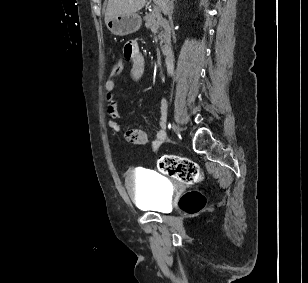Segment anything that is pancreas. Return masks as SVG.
I'll return each mask as SVG.
<instances>
[{
    "label": "pancreas",
    "mask_w": 308,
    "mask_h": 283,
    "mask_svg": "<svg viewBox=\"0 0 308 283\" xmlns=\"http://www.w3.org/2000/svg\"><path fill=\"white\" fill-rule=\"evenodd\" d=\"M144 20L147 28L151 29L153 33H158L163 54H169L171 46V28L169 23L163 18L159 10L147 13Z\"/></svg>",
    "instance_id": "obj_1"
}]
</instances>
